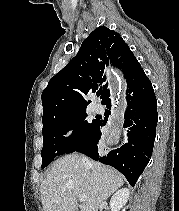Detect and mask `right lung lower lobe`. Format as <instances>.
Instances as JSON below:
<instances>
[{
  "instance_id": "right-lung-lower-lobe-1",
  "label": "right lung lower lobe",
  "mask_w": 179,
  "mask_h": 211,
  "mask_svg": "<svg viewBox=\"0 0 179 211\" xmlns=\"http://www.w3.org/2000/svg\"><path fill=\"white\" fill-rule=\"evenodd\" d=\"M105 105L110 109L111 100ZM124 119L128 138L124 145L108 154L98 153L101 127L106 124L99 120L90 138L75 151L113 166L134 186L151 158L158 121L157 100L152 84L143 70L127 83Z\"/></svg>"
}]
</instances>
